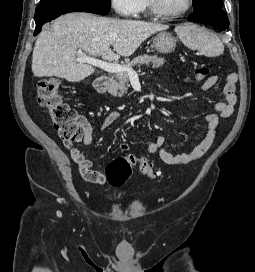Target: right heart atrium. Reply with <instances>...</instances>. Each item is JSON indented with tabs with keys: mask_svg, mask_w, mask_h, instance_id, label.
I'll use <instances>...</instances> for the list:
<instances>
[{
	"mask_svg": "<svg viewBox=\"0 0 255 272\" xmlns=\"http://www.w3.org/2000/svg\"><path fill=\"white\" fill-rule=\"evenodd\" d=\"M110 3L121 16H135L139 12L140 0H110Z\"/></svg>",
	"mask_w": 255,
	"mask_h": 272,
	"instance_id": "obj_1",
	"label": "right heart atrium"
}]
</instances>
